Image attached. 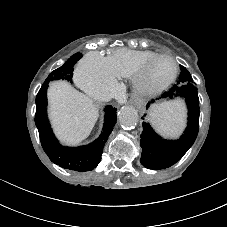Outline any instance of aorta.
<instances>
[{
  "label": "aorta",
  "instance_id": "762f6f07",
  "mask_svg": "<svg viewBox=\"0 0 227 227\" xmlns=\"http://www.w3.org/2000/svg\"><path fill=\"white\" fill-rule=\"evenodd\" d=\"M118 121L122 128L133 129L138 123V113L133 107L125 106L118 113Z\"/></svg>",
  "mask_w": 227,
  "mask_h": 227
}]
</instances>
